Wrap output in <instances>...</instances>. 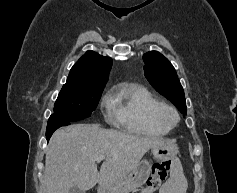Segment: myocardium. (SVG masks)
<instances>
[{"label":"myocardium","mask_w":237,"mask_h":193,"mask_svg":"<svg viewBox=\"0 0 237 193\" xmlns=\"http://www.w3.org/2000/svg\"><path fill=\"white\" fill-rule=\"evenodd\" d=\"M157 120L169 129L175 127L179 120L178 111L171 105L163 104L156 112Z\"/></svg>","instance_id":"obj_1"}]
</instances>
